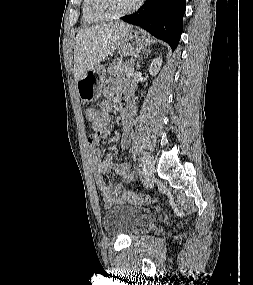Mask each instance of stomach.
Wrapping results in <instances>:
<instances>
[{"instance_id": "1", "label": "stomach", "mask_w": 253, "mask_h": 285, "mask_svg": "<svg viewBox=\"0 0 253 285\" xmlns=\"http://www.w3.org/2000/svg\"><path fill=\"white\" fill-rule=\"evenodd\" d=\"M150 44V38L142 30L128 31L117 49V53L121 57L132 56L138 54ZM105 78V68L103 65L97 64L93 69L89 70L77 82L78 96L83 102L96 101L101 95L102 84Z\"/></svg>"}]
</instances>
